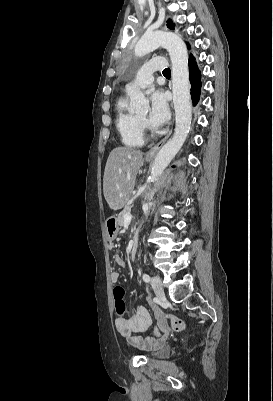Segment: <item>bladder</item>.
Segmentation results:
<instances>
[{"label":"bladder","mask_w":273,"mask_h":401,"mask_svg":"<svg viewBox=\"0 0 273 401\" xmlns=\"http://www.w3.org/2000/svg\"><path fill=\"white\" fill-rule=\"evenodd\" d=\"M170 354V348L168 346H162L157 348L151 356L154 358H163Z\"/></svg>","instance_id":"obj_1"}]
</instances>
